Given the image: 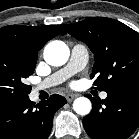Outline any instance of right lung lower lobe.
<instances>
[{
  "instance_id": "right-lung-lower-lobe-1",
  "label": "right lung lower lobe",
  "mask_w": 139,
  "mask_h": 139,
  "mask_svg": "<svg viewBox=\"0 0 139 139\" xmlns=\"http://www.w3.org/2000/svg\"><path fill=\"white\" fill-rule=\"evenodd\" d=\"M66 103L57 94L39 104L29 97L0 99V139H47L55 112Z\"/></svg>"
}]
</instances>
